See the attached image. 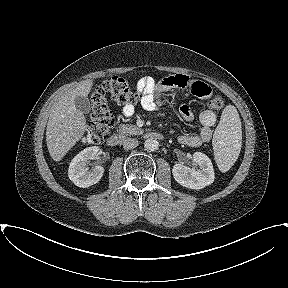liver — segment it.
Here are the masks:
<instances>
[{
	"mask_svg": "<svg viewBox=\"0 0 288 288\" xmlns=\"http://www.w3.org/2000/svg\"><path fill=\"white\" fill-rule=\"evenodd\" d=\"M93 86L92 80H84L62 96L49 116L46 142L50 156L56 162L83 137L86 118L75 106L77 96H87Z\"/></svg>",
	"mask_w": 288,
	"mask_h": 288,
	"instance_id": "1",
	"label": "liver"
}]
</instances>
